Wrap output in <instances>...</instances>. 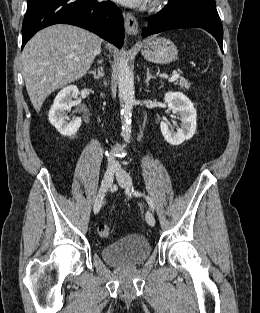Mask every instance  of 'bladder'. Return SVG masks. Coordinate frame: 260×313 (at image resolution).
I'll return each mask as SVG.
<instances>
[{"label":"bladder","instance_id":"31cf9c89","mask_svg":"<svg viewBox=\"0 0 260 313\" xmlns=\"http://www.w3.org/2000/svg\"><path fill=\"white\" fill-rule=\"evenodd\" d=\"M151 254L149 241L141 234H131L102 249L105 261L118 267L138 266Z\"/></svg>","mask_w":260,"mask_h":313}]
</instances>
